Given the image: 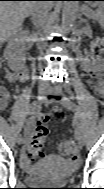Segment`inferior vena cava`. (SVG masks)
I'll list each match as a JSON object with an SVG mask.
<instances>
[{"mask_svg":"<svg viewBox=\"0 0 104 189\" xmlns=\"http://www.w3.org/2000/svg\"><path fill=\"white\" fill-rule=\"evenodd\" d=\"M39 5L35 7L32 12V21L36 28H40L45 21V17L47 15L48 3L47 2H37ZM42 77H39V88H50V82H48L49 77H45L47 72L45 71V67H42V71L40 72Z\"/></svg>","mask_w":104,"mask_h":189,"instance_id":"inferior-vena-cava-1","label":"inferior vena cava"}]
</instances>
